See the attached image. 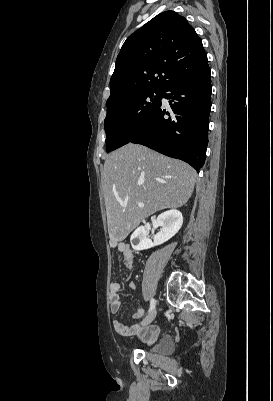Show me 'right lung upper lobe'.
I'll return each mask as SVG.
<instances>
[{
  "label": "right lung upper lobe",
  "instance_id": "right-lung-upper-lobe-1",
  "mask_svg": "<svg viewBox=\"0 0 273 401\" xmlns=\"http://www.w3.org/2000/svg\"><path fill=\"white\" fill-rule=\"evenodd\" d=\"M206 62L202 41L187 20L174 11L160 13L123 44L107 106L142 91L163 90L181 71Z\"/></svg>",
  "mask_w": 273,
  "mask_h": 401
}]
</instances>
